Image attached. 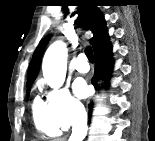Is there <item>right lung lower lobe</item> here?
Segmentation results:
<instances>
[{
    "label": "right lung lower lobe",
    "instance_id": "obj_1",
    "mask_svg": "<svg viewBox=\"0 0 155 141\" xmlns=\"http://www.w3.org/2000/svg\"><path fill=\"white\" fill-rule=\"evenodd\" d=\"M95 55V73L92 84L97 85V81L108 78L113 67L112 46L109 42L108 33L105 32L93 45ZM91 116V105L89 106V117Z\"/></svg>",
    "mask_w": 155,
    "mask_h": 141
}]
</instances>
